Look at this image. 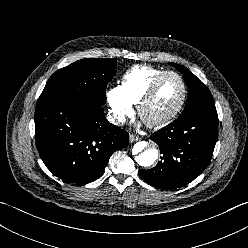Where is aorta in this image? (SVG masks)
Segmentation results:
<instances>
[{
	"label": "aorta",
	"mask_w": 248,
	"mask_h": 248,
	"mask_svg": "<svg viewBox=\"0 0 248 248\" xmlns=\"http://www.w3.org/2000/svg\"><path fill=\"white\" fill-rule=\"evenodd\" d=\"M147 147L148 143L146 141H140L134 145L132 150L135 155V161L143 167L153 165L159 155L156 148Z\"/></svg>",
	"instance_id": "762f6f07"
}]
</instances>
